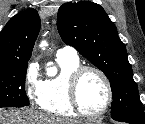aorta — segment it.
<instances>
[{
  "mask_svg": "<svg viewBox=\"0 0 145 124\" xmlns=\"http://www.w3.org/2000/svg\"><path fill=\"white\" fill-rule=\"evenodd\" d=\"M47 46H48V44H47L46 41H42L41 44H40V47H41L42 49H45V47H47ZM56 73H57L56 68H49V69L47 70V74H48L49 76H55Z\"/></svg>",
  "mask_w": 145,
  "mask_h": 124,
  "instance_id": "1",
  "label": "aorta"
}]
</instances>
